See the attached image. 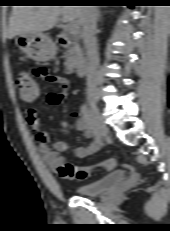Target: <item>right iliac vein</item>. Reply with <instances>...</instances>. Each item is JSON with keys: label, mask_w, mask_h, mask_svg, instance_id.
<instances>
[{"label": "right iliac vein", "mask_w": 170, "mask_h": 231, "mask_svg": "<svg viewBox=\"0 0 170 231\" xmlns=\"http://www.w3.org/2000/svg\"><path fill=\"white\" fill-rule=\"evenodd\" d=\"M88 102L90 105V111L91 114L94 118V122L97 126V129L99 131V134L102 138H106L109 134V128L107 127L106 124H104V122L102 121V119L100 118L99 115V110L95 101V96L94 95H90L88 97Z\"/></svg>", "instance_id": "63e3f726"}]
</instances>
